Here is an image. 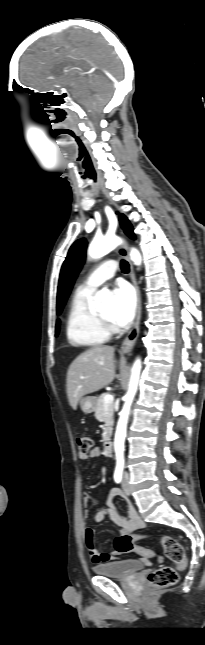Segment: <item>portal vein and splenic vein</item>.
<instances>
[{"mask_svg": "<svg viewBox=\"0 0 205 645\" xmlns=\"http://www.w3.org/2000/svg\"><path fill=\"white\" fill-rule=\"evenodd\" d=\"M113 400H114L113 395L107 394V395H105V396H104V402H105V404L112 403V402H113Z\"/></svg>", "mask_w": 205, "mask_h": 645, "instance_id": "1", "label": "portal vein and splenic vein"}]
</instances>
